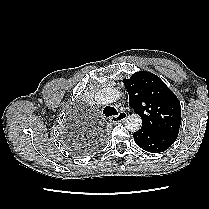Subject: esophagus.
<instances>
[{"mask_svg":"<svg viewBox=\"0 0 209 209\" xmlns=\"http://www.w3.org/2000/svg\"><path fill=\"white\" fill-rule=\"evenodd\" d=\"M126 117H127V113H126L125 111H120V112L118 113V115L112 116V117L110 118V121H112V122H114V123H117V122H121V121L125 120Z\"/></svg>","mask_w":209,"mask_h":209,"instance_id":"34e87169","label":"esophagus"}]
</instances>
